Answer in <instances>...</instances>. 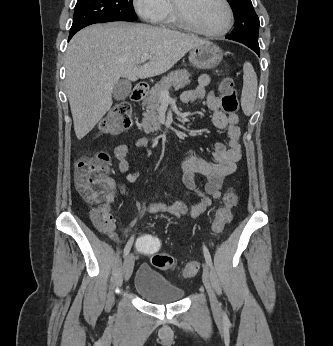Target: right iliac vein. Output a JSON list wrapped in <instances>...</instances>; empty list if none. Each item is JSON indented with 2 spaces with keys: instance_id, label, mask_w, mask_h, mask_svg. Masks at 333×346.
Returning <instances> with one entry per match:
<instances>
[{
  "instance_id": "63e3f726",
  "label": "right iliac vein",
  "mask_w": 333,
  "mask_h": 346,
  "mask_svg": "<svg viewBox=\"0 0 333 346\" xmlns=\"http://www.w3.org/2000/svg\"><path fill=\"white\" fill-rule=\"evenodd\" d=\"M134 262H135V259H134L133 254H129L124 260L123 276H124L125 281H128V279L130 278V276L133 272Z\"/></svg>"
}]
</instances>
